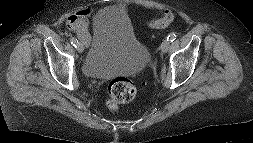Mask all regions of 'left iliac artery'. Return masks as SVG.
Masks as SVG:
<instances>
[{"label":"left iliac artery","mask_w":253,"mask_h":143,"mask_svg":"<svg viewBox=\"0 0 253 143\" xmlns=\"http://www.w3.org/2000/svg\"><path fill=\"white\" fill-rule=\"evenodd\" d=\"M176 39V35L175 34H171L167 37V41L168 42H173Z\"/></svg>","instance_id":"left-iliac-artery-1"}]
</instances>
